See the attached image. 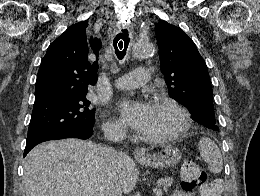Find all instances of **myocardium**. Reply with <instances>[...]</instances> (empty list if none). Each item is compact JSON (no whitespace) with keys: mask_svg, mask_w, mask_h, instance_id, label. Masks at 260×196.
<instances>
[{"mask_svg":"<svg viewBox=\"0 0 260 196\" xmlns=\"http://www.w3.org/2000/svg\"><path fill=\"white\" fill-rule=\"evenodd\" d=\"M152 104H162V105H168L172 108H174L181 118L180 125L166 133L160 134V135H149L147 139L151 142H166L170 141L174 138L179 137L184 132H186L190 126L191 122V116L189 111L176 99L170 97V96H155L152 98L151 101Z\"/></svg>","mask_w":260,"mask_h":196,"instance_id":"obj_1","label":"myocardium"}]
</instances>
